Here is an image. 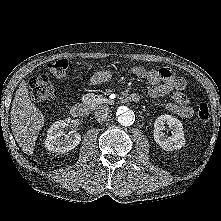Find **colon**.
Instances as JSON below:
<instances>
[{
    "mask_svg": "<svg viewBox=\"0 0 221 221\" xmlns=\"http://www.w3.org/2000/svg\"><path fill=\"white\" fill-rule=\"evenodd\" d=\"M69 63L65 59H59L54 62H50L47 65V69L57 78H64L68 72ZM30 89L32 98L35 101H50L56 98L57 90L49 81V79L43 75H36L30 80ZM211 118L209 108L202 104L197 110V120L200 124L206 125Z\"/></svg>",
    "mask_w": 221,
    "mask_h": 221,
    "instance_id": "5ec220e1",
    "label": "colon"
}]
</instances>
